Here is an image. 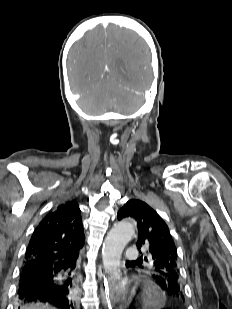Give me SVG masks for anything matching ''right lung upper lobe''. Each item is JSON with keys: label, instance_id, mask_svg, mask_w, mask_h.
<instances>
[{"label": "right lung upper lobe", "instance_id": "obj_1", "mask_svg": "<svg viewBox=\"0 0 232 309\" xmlns=\"http://www.w3.org/2000/svg\"><path fill=\"white\" fill-rule=\"evenodd\" d=\"M85 237L81 211L75 201L61 204L49 212L34 230L25 253V261L47 268L54 263H73Z\"/></svg>", "mask_w": 232, "mask_h": 309}]
</instances>
